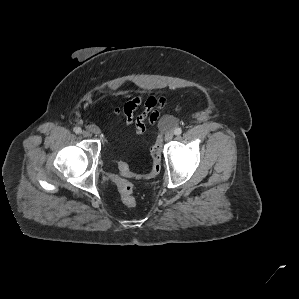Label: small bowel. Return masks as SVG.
<instances>
[{
	"mask_svg": "<svg viewBox=\"0 0 299 299\" xmlns=\"http://www.w3.org/2000/svg\"><path fill=\"white\" fill-rule=\"evenodd\" d=\"M166 99L164 97H147L136 96L126 102L122 108H115V114L121 118L122 122L127 125H134L136 134H143L147 129V124L154 125L160 118L161 111L165 107ZM143 106V110L135 115L136 110ZM178 106L176 110H179ZM95 129L94 127H92Z\"/></svg>",
	"mask_w": 299,
	"mask_h": 299,
	"instance_id": "c3829d8e",
	"label": "small bowel"
}]
</instances>
